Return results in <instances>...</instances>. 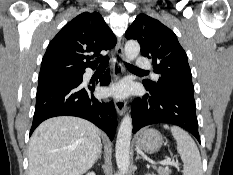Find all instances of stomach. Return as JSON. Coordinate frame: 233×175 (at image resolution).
<instances>
[{
	"label": "stomach",
	"mask_w": 233,
	"mask_h": 175,
	"mask_svg": "<svg viewBox=\"0 0 233 175\" xmlns=\"http://www.w3.org/2000/svg\"><path fill=\"white\" fill-rule=\"evenodd\" d=\"M162 144V135L155 129H144L136 135V146L144 152L155 153Z\"/></svg>",
	"instance_id": "stomach-1"
}]
</instances>
